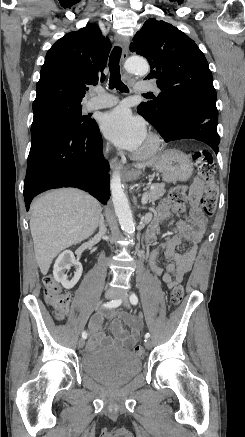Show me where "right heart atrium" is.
Returning a JSON list of instances; mask_svg holds the SVG:
<instances>
[{
	"instance_id": "obj_1",
	"label": "right heart atrium",
	"mask_w": 245,
	"mask_h": 437,
	"mask_svg": "<svg viewBox=\"0 0 245 437\" xmlns=\"http://www.w3.org/2000/svg\"><path fill=\"white\" fill-rule=\"evenodd\" d=\"M102 152L103 154L106 156L109 152V146L108 145H104L102 148Z\"/></svg>"
}]
</instances>
